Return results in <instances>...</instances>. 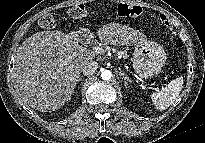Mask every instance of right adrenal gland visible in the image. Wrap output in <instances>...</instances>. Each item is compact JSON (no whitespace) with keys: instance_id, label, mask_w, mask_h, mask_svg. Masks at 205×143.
I'll use <instances>...</instances> for the list:
<instances>
[{"instance_id":"right-adrenal-gland-1","label":"right adrenal gland","mask_w":205,"mask_h":143,"mask_svg":"<svg viewBox=\"0 0 205 143\" xmlns=\"http://www.w3.org/2000/svg\"><path fill=\"white\" fill-rule=\"evenodd\" d=\"M82 79H83V76L79 77V78L77 79V82H80ZM77 82L75 83V85H74L73 88H72L73 91H74V88H75Z\"/></svg>"}]
</instances>
